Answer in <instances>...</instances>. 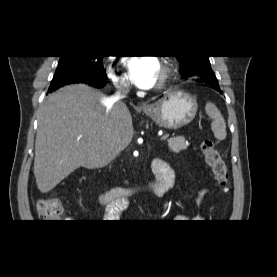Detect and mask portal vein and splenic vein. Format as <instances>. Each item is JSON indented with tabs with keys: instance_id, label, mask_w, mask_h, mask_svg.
I'll list each match as a JSON object with an SVG mask.
<instances>
[{
	"instance_id": "1",
	"label": "portal vein and splenic vein",
	"mask_w": 277,
	"mask_h": 277,
	"mask_svg": "<svg viewBox=\"0 0 277 277\" xmlns=\"http://www.w3.org/2000/svg\"><path fill=\"white\" fill-rule=\"evenodd\" d=\"M168 138H169V135H168V134H165V135L161 136L160 140H161V141H164V140H166V139H168Z\"/></svg>"
}]
</instances>
